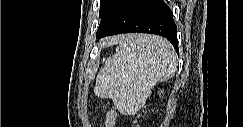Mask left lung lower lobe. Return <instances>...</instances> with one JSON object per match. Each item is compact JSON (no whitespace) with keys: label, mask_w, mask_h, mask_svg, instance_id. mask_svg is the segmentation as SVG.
<instances>
[{"label":"left lung lower lobe","mask_w":243,"mask_h":127,"mask_svg":"<svg viewBox=\"0 0 243 127\" xmlns=\"http://www.w3.org/2000/svg\"><path fill=\"white\" fill-rule=\"evenodd\" d=\"M132 32L166 37L179 52L177 26L163 0H122L106 17V26L98 28L97 38Z\"/></svg>","instance_id":"1"}]
</instances>
